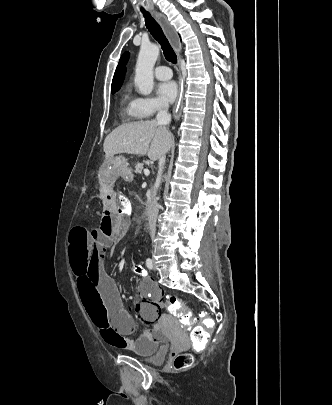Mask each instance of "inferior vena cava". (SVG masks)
Here are the masks:
<instances>
[{
    "mask_svg": "<svg viewBox=\"0 0 332 405\" xmlns=\"http://www.w3.org/2000/svg\"><path fill=\"white\" fill-rule=\"evenodd\" d=\"M168 108H169V105H168L167 102H160L159 103L158 113H157V116H156V121H157L158 125H161V126L165 127L166 125H168L171 122V114L168 112ZM165 159H166V156H165V153H164L159 158L158 176H157V179H156V185H155L154 192H153V199H152L151 205H150V207L148 209V220H149L151 230H154V228H155L156 220H157V216H158V211H159V205H158V203L156 201V192H157V187L160 184L161 177H162V174H163V169H164V166H165Z\"/></svg>",
    "mask_w": 332,
    "mask_h": 405,
    "instance_id": "obj_1",
    "label": "inferior vena cava"
}]
</instances>
